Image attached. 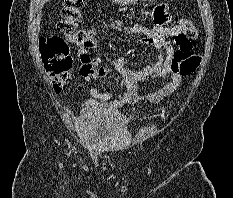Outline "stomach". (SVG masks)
Returning a JSON list of instances; mask_svg holds the SVG:
<instances>
[{
    "label": "stomach",
    "mask_w": 233,
    "mask_h": 198,
    "mask_svg": "<svg viewBox=\"0 0 233 198\" xmlns=\"http://www.w3.org/2000/svg\"><path fill=\"white\" fill-rule=\"evenodd\" d=\"M110 1L118 5H127V4L136 3L138 0H110ZM142 1H146V0H142Z\"/></svg>",
    "instance_id": "stomach-1"
}]
</instances>
